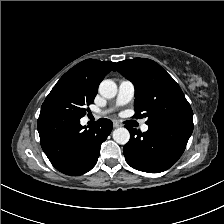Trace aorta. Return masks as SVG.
I'll use <instances>...</instances> for the list:
<instances>
[{
	"instance_id": "1",
	"label": "aorta",
	"mask_w": 224,
	"mask_h": 224,
	"mask_svg": "<svg viewBox=\"0 0 224 224\" xmlns=\"http://www.w3.org/2000/svg\"><path fill=\"white\" fill-rule=\"evenodd\" d=\"M99 93L105 98H113L117 94V85L112 80H103L99 85ZM113 139L120 145H125L128 143L130 139L129 131L124 128L120 127L113 131Z\"/></svg>"
}]
</instances>
